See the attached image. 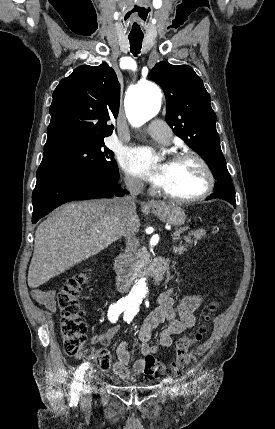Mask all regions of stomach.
Returning <instances> with one entry per match:
<instances>
[{
    "instance_id": "0dacf381",
    "label": "stomach",
    "mask_w": 275,
    "mask_h": 429,
    "mask_svg": "<svg viewBox=\"0 0 275 429\" xmlns=\"http://www.w3.org/2000/svg\"><path fill=\"white\" fill-rule=\"evenodd\" d=\"M152 211L161 221L172 226H181L186 220L184 210L174 204L160 203L156 208H152Z\"/></svg>"
}]
</instances>
